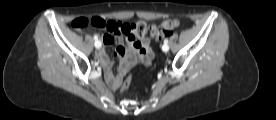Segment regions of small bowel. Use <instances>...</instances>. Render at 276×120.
<instances>
[{
  "label": "small bowel",
  "mask_w": 276,
  "mask_h": 120,
  "mask_svg": "<svg viewBox=\"0 0 276 120\" xmlns=\"http://www.w3.org/2000/svg\"><path fill=\"white\" fill-rule=\"evenodd\" d=\"M108 25L104 29L105 34H99L97 37L103 42L105 46H111L117 40L118 46L116 48V55L120 58L119 73L124 75L128 72L132 65L137 60L147 64L151 61L152 50L150 48V41L146 38L141 40L138 39H127L124 38L121 32L122 23L115 21H107ZM97 59L106 68L107 81L115 86L117 80H120V76L113 75V65L108 60L104 53V50L97 52Z\"/></svg>",
  "instance_id": "c3829d8e"
}]
</instances>
